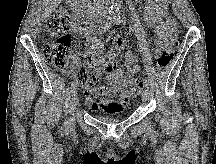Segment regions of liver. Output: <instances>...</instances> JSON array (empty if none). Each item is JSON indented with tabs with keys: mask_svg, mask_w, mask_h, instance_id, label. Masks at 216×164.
<instances>
[{
	"mask_svg": "<svg viewBox=\"0 0 216 164\" xmlns=\"http://www.w3.org/2000/svg\"><path fill=\"white\" fill-rule=\"evenodd\" d=\"M62 0H43L45 6V16L48 17L51 13L56 10Z\"/></svg>",
	"mask_w": 216,
	"mask_h": 164,
	"instance_id": "obj_1",
	"label": "liver"
}]
</instances>
